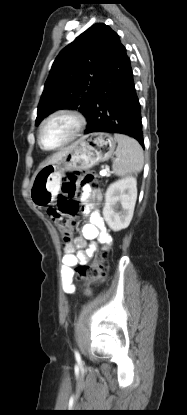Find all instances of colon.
<instances>
[{"mask_svg":"<svg viewBox=\"0 0 187 415\" xmlns=\"http://www.w3.org/2000/svg\"><path fill=\"white\" fill-rule=\"evenodd\" d=\"M98 177L93 172L71 174L62 184L55 208L47 210L48 215L59 231L64 242H69L73 235V217L79 210L77 194L79 186L95 184ZM108 271V263L102 255L97 256L87 265L77 269L78 276L88 283L98 284L104 281Z\"/></svg>","mask_w":187,"mask_h":415,"instance_id":"1","label":"colon"}]
</instances>
